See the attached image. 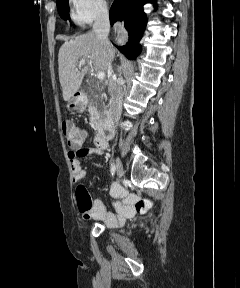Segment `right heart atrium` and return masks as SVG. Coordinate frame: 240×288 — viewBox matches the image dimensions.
Returning a JSON list of instances; mask_svg holds the SVG:
<instances>
[{
  "label": "right heart atrium",
  "instance_id": "right-heart-atrium-1",
  "mask_svg": "<svg viewBox=\"0 0 240 288\" xmlns=\"http://www.w3.org/2000/svg\"><path fill=\"white\" fill-rule=\"evenodd\" d=\"M74 20L80 25L91 24L108 14L105 0H71Z\"/></svg>",
  "mask_w": 240,
  "mask_h": 288
}]
</instances>
